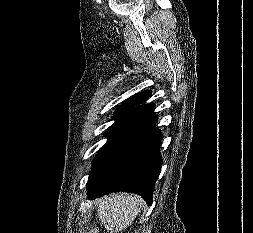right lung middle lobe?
Wrapping results in <instances>:
<instances>
[{
  "mask_svg": "<svg viewBox=\"0 0 253 233\" xmlns=\"http://www.w3.org/2000/svg\"><path fill=\"white\" fill-rule=\"evenodd\" d=\"M136 105L123 103L120 105L113 118L115 119V123L107 130L105 136H110L114 130L125 120V118L131 113Z\"/></svg>",
  "mask_w": 253,
  "mask_h": 233,
  "instance_id": "1",
  "label": "right lung middle lobe"
}]
</instances>
